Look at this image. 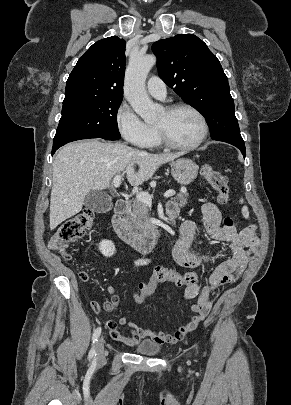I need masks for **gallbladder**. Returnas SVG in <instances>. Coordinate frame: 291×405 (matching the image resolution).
Instances as JSON below:
<instances>
[{
    "instance_id": "gallbladder-1",
    "label": "gallbladder",
    "mask_w": 291,
    "mask_h": 405,
    "mask_svg": "<svg viewBox=\"0 0 291 405\" xmlns=\"http://www.w3.org/2000/svg\"><path fill=\"white\" fill-rule=\"evenodd\" d=\"M84 205L91 211L105 213L112 208V199L105 192L92 190L86 195Z\"/></svg>"
}]
</instances>
